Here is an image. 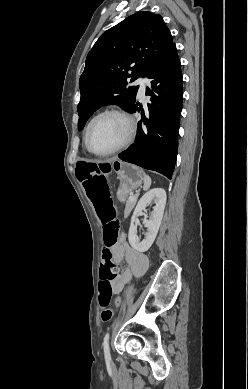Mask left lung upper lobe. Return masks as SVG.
I'll use <instances>...</instances> for the list:
<instances>
[{"label":"left lung upper lobe","mask_w":248,"mask_h":389,"mask_svg":"<svg viewBox=\"0 0 248 389\" xmlns=\"http://www.w3.org/2000/svg\"><path fill=\"white\" fill-rule=\"evenodd\" d=\"M173 44L163 18L149 11L137 12L104 32L88 53L79 80V130L101 106L114 104L127 111L139 88L127 86L128 80L146 77Z\"/></svg>","instance_id":"left-lung-upper-lobe-1"}]
</instances>
